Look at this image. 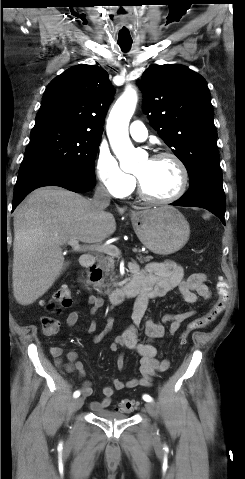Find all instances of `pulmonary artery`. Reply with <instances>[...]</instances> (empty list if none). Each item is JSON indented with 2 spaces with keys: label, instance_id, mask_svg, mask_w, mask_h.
<instances>
[{
  "label": "pulmonary artery",
  "instance_id": "e3ab8cb5",
  "mask_svg": "<svg viewBox=\"0 0 245 479\" xmlns=\"http://www.w3.org/2000/svg\"><path fill=\"white\" fill-rule=\"evenodd\" d=\"M129 133L136 141H144L148 136V130L141 121H133L130 124Z\"/></svg>",
  "mask_w": 245,
  "mask_h": 479
}]
</instances>
